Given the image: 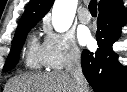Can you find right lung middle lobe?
I'll list each match as a JSON object with an SVG mask.
<instances>
[{
    "label": "right lung middle lobe",
    "mask_w": 127,
    "mask_h": 92,
    "mask_svg": "<svg viewBox=\"0 0 127 92\" xmlns=\"http://www.w3.org/2000/svg\"><path fill=\"white\" fill-rule=\"evenodd\" d=\"M35 25L26 27L24 29H22L21 31H19L18 33L15 34L14 39L12 41V47H11V51L10 54L7 57L6 63L3 67V71L7 72L10 71L11 69H13L18 60H19V54H20V50L25 42L27 33L34 27Z\"/></svg>",
    "instance_id": "obj_1"
}]
</instances>
